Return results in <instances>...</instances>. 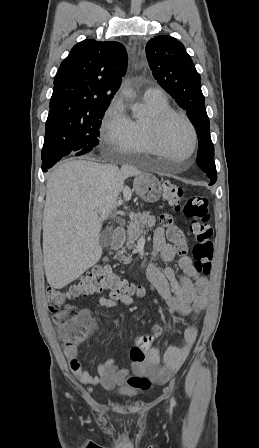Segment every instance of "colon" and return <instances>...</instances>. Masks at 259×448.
Listing matches in <instances>:
<instances>
[{"mask_svg": "<svg viewBox=\"0 0 259 448\" xmlns=\"http://www.w3.org/2000/svg\"><path fill=\"white\" fill-rule=\"evenodd\" d=\"M162 190L164 199L175 210L183 211L189 219L190 231L196 241L193 248L194 266L199 273L209 274L214 247L211 216L206 196L199 194L184 199L182 187L170 180L163 183ZM160 221L167 227L168 238L175 244L178 252L186 253L188 245L182 229L173 223L172 217L168 214L162 215ZM104 291H109L114 295L143 294L141 287L134 286L108 268H95L89 271L68 289L49 288L47 290L48 308L66 347L75 348L94 327V321L89 311L71 305L69 301ZM156 338L157 335L154 332L150 335L139 336L130 351L132 361L136 363L145 361L147 352Z\"/></svg>", "mask_w": 259, "mask_h": 448, "instance_id": "1", "label": "colon"}]
</instances>
